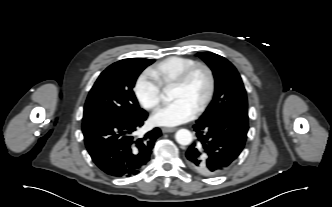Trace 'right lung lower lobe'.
Listing matches in <instances>:
<instances>
[{"instance_id":"98d812e1","label":"right lung lower lobe","mask_w":332,"mask_h":207,"mask_svg":"<svg viewBox=\"0 0 332 207\" xmlns=\"http://www.w3.org/2000/svg\"><path fill=\"white\" fill-rule=\"evenodd\" d=\"M147 116L144 111L129 119L96 118L82 124L86 148L102 171L114 177H130L144 168L161 135V130L154 128L143 138L134 139L132 133Z\"/></svg>"}]
</instances>
